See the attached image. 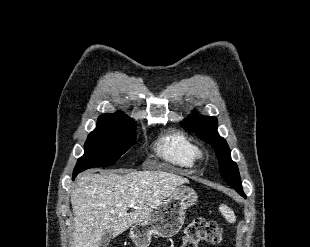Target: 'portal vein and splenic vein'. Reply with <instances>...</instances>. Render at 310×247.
I'll use <instances>...</instances> for the list:
<instances>
[{"instance_id":"portal-vein-and-splenic-vein-1","label":"portal vein and splenic vein","mask_w":310,"mask_h":247,"mask_svg":"<svg viewBox=\"0 0 310 247\" xmlns=\"http://www.w3.org/2000/svg\"><path fill=\"white\" fill-rule=\"evenodd\" d=\"M135 205V202L134 201H131L130 203H129V206L130 207H133Z\"/></svg>"}]
</instances>
